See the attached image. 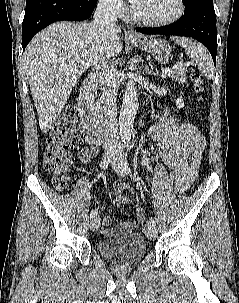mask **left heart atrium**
Segmentation results:
<instances>
[{
	"label": "left heart atrium",
	"instance_id": "1",
	"mask_svg": "<svg viewBox=\"0 0 239 303\" xmlns=\"http://www.w3.org/2000/svg\"><path fill=\"white\" fill-rule=\"evenodd\" d=\"M131 2V4L135 7L137 6L141 0H129Z\"/></svg>",
	"mask_w": 239,
	"mask_h": 303
}]
</instances>
